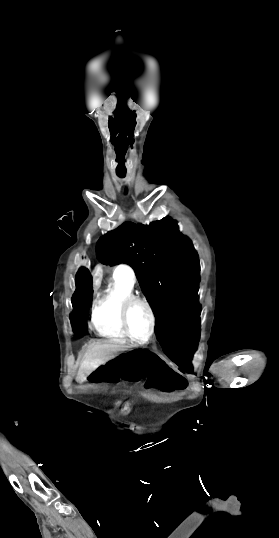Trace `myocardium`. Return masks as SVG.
<instances>
[{"instance_id":"1","label":"myocardium","mask_w":279,"mask_h":538,"mask_svg":"<svg viewBox=\"0 0 279 538\" xmlns=\"http://www.w3.org/2000/svg\"><path fill=\"white\" fill-rule=\"evenodd\" d=\"M95 230L96 229L94 228L91 231H95ZM86 234L87 236L89 234L87 229H86ZM136 304H140L144 306L147 309L148 314L150 316V332H149L148 337L144 340H139L135 338L133 334L131 333V330L129 327V321H128L129 310L133 305H136ZM119 318H120V323H121L123 331L132 342L139 345H144V344L149 343L151 339L153 338L156 331L157 321H156V315H155L154 309L147 299L139 297L137 295H131L128 298H126L120 307Z\"/></svg>"}]
</instances>
